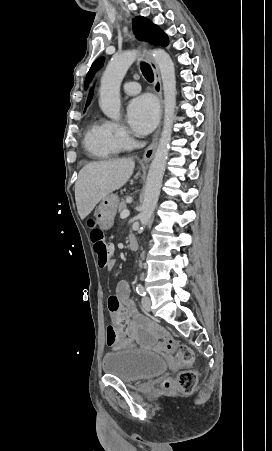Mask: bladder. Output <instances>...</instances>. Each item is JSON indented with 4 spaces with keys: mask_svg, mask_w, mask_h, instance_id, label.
<instances>
[{
    "mask_svg": "<svg viewBox=\"0 0 272 451\" xmlns=\"http://www.w3.org/2000/svg\"><path fill=\"white\" fill-rule=\"evenodd\" d=\"M106 375L118 376L124 383H136L165 373L168 363L160 354L117 349L104 355Z\"/></svg>",
    "mask_w": 272,
    "mask_h": 451,
    "instance_id": "1",
    "label": "bladder"
}]
</instances>
